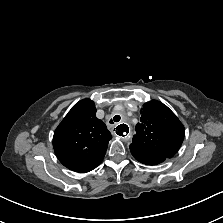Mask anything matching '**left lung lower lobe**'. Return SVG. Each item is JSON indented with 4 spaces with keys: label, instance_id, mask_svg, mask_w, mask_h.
<instances>
[{
    "label": "left lung lower lobe",
    "instance_id": "1",
    "mask_svg": "<svg viewBox=\"0 0 223 223\" xmlns=\"http://www.w3.org/2000/svg\"><path fill=\"white\" fill-rule=\"evenodd\" d=\"M130 151H131L133 157L137 161H139L143 164H146V165H156V164L163 162L166 159L164 157L145 153L143 151H140V150H137L134 148H130Z\"/></svg>",
    "mask_w": 223,
    "mask_h": 223
}]
</instances>
